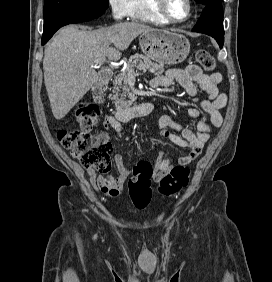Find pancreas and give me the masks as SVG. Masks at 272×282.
Here are the masks:
<instances>
[{
  "label": "pancreas",
  "instance_id": "cf45deb5",
  "mask_svg": "<svg viewBox=\"0 0 272 282\" xmlns=\"http://www.w3.org/2000/svg\"><path fill=\"white\" fill-rule=\"evenodd\" d=\"M134 68L144 73L148 71L156 76H159L164 72L163 64L154 63L144 55L135 54L131 56L127 62L125 70L116 75L113 81L115 95L111 99L115 100L116 106L129 105L130 100L133 98V95L130 93L129 88L127 87V79L128 70ZM120 90H122L123 93H120Z\"/></svg>",
  "mask_w": 272,
  "mask_h": 282
}]
</instances>
